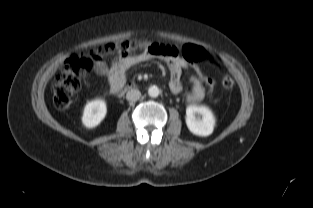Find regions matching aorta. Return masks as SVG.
I'll return each instance as SVG.
<instances>
[{
	"label": "aorta",
	"instance_id": "obj_1",
	"mask_svg": "<svg viewBox=\"0 0 313 208\" xmlns=\"http://www.w3.org/2000/svg\"><path fill=\"white\" fill-rule=\"evenodd\" d=\"M159 93H160V90L157 86H151L148 89V95L150 97H157L159 95Z\"/></svg>",
	"mask_w": 313,
	"mask_h": 208
}]
</instances>
